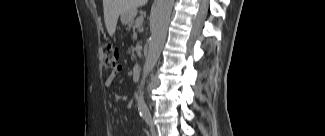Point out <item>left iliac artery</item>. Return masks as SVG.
Here are the masks:
<instances>
[{
    "instance_id": "44dca946",
    "label": "left iliac artery",
    "mask_w": 325,
    "mask_h": 136,
    "mask_svg": "<svg viewBox=\"0 0 325 136\" xmlns=\"http://www.w3.org/2000/svg\"><path fill=\"white\" fill-rule=\"evenodd\" d=\"M142 117L149 126H152L153 122H152V117H151L150 112H144L142 114Z\"/></svg>"
}]
</instances>
